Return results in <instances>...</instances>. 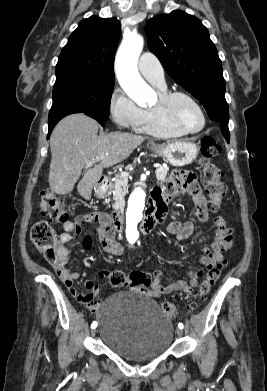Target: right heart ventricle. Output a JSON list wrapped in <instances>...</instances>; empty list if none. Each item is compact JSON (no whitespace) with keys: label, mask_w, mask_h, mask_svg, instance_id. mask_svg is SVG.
Instances as JSON below:
<instances>
[{"label":"right heart ventricle","mask_w":267,"mask_h":391,"mask_svg":"<svg viewBox=\"0 0 267 391\" xmlns=\"http://www.w3.org/2000/svg\"><path fill=\"white\" fill-rule=\"evenodd\" d=\"M160 95L167 92L166 88H158ZM139 133L148 134L159 138H177L183 135L182 132L172 127L163 120L155 107L143 110V117L140 123L135 127Z\"/></svg>","instance_id":"right-heart-ventricle-1"}]
</instances>
